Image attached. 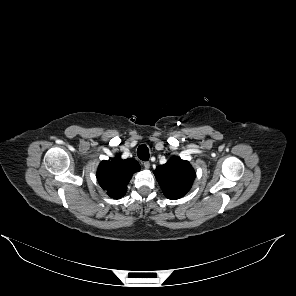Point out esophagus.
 I'll return each instance as SVG.
<instances>
[{"label":"esophagus","mask_w":296,"mask_h":296,"mask_svg":"<svg viewBox=\"0 0 296 296\" xmlns=\"http://www.w3.org/2000/svg\"><path fill=\"white\" fill-rule=\"evenodd\" d=\"M144 167L145 169H149L150 168V163L149 162H144Z\"/></svg>","instance_id":"esophagus-1"}]
</instances>
